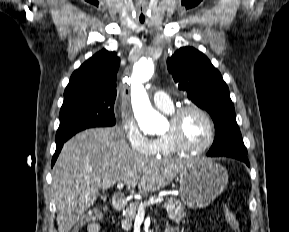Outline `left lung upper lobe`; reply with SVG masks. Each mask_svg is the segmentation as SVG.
<instances>
[{"label": "left lung upper lobe", "mask_w": 289, "mask_h": 232, "mask_svg": "<svg viewBox=\"0 0 289 232\" xmlns=\"http://www.w3.org/2000/svg\"><path fill=\"white\" fill-rule=\"evenodd\" d=\"M167 68L178 88L213 119L215 139L207 155L247 154L228 86L209 59L193 47H182L167 59Z\"/></svg>", "instance_id": "obj_1"}]
</instances>
